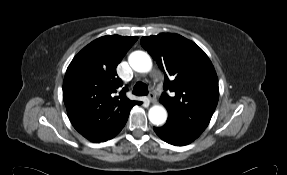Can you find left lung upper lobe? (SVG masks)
<instances>
[{"label":"left lung upper lobe","instance_id":"5c2ea615","mask_svg":"<svg viewBox=\"0 0 287 175\" xmlns=\"http://www.w3.org/2000/svg\"><path fill=\"white\" fill-rule=\"evenodd\" d=\"M141 45L164 72L160 97L168 111L167 124L198 138L208 126L219 99L218 78L208 56L178 34L142 37Z\"/></svg>","mask_w":287,"mask_h":175}]
</instances>
